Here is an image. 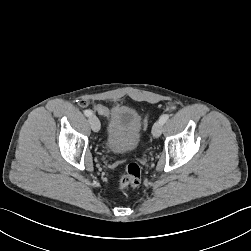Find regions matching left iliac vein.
Listing matches in <instances>:
<instances>
[{
    "mask_svg": "<svg viewBox=\"0 0 251 251\" xmlns=\"http://www.w3.org/2000/svg\"><path fill=\"white\" fill-rule=\"evenodd\" d=\"M162 128H163V124L162 122L159 120L157 121L152 128V134L155 138H158L161 133H162Z\"/></svg>",
    "mask_w": 251,
    "mask_h": 251,
    "instance_id": "left-iliac-vein-1",
    "label": "left iliac vein"
}]
</instances>
